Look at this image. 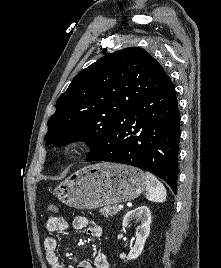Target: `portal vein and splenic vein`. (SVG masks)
Segmentation results:
<instances>
[{"instance_id": "18ae733b", "label": "portal vein and splenic vein", "mask_w": 221, "mask_h": 268, "mask_svg": "<svg viewBox=\"0 0 221 268\" xmlns=\"http://www.w3.org/2000/svg\"><path fill=\"white\" fill-rule=\"evenodd\" d=\"M123 207H124V206H123L122 204H120V205L118 206V209L121 210V209H123Z\"/></svg>"}]
</instances>
